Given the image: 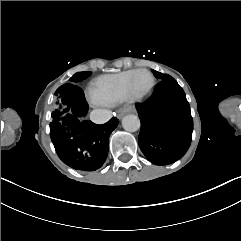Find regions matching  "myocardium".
<instances>
[{"mask_svg":"<svg viewBox=\"0 0 241 241\" xmlns=\"http://www.w3.org/2000/svg\"><path fill=\"white\" fill-rule=\"evenodd\" d=\"M144 69H145V68H144ZM147 70H148V69H147ZM140 72H141V71H140ZM150 72H151V71H150ZM136 74H138V72H137ZM152 74H153V73H152ZM134 75H135V74H134ZM134 75H133V76H134ZM130 78H131V77H130ZM154 78H155V77H154ZM154 82H155V80H154ZM128 83H129V80H128ZM153 87H154V86H153ZM150 89H151V88H150ZM148 93H149V92H148ZM148 93H147V94H148ZM144 98H145V97H144ZM142 100H143V99H142ZM138 101H139V100H138ZM138 101H137V102H138Z\"/></svg>","mask_w":241,"mask_h":241,"instance_id":"f54148a6","label":"myocardium"}]
</instances>
